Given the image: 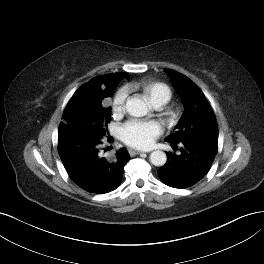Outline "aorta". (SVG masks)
Returning <instances> with one entry per match:
<instances>
[{"label":"aorta","instance_id":"762f6f07","mask_svg":"<svg viewBox=\"0 0 264 264\" xmlns=\"http://www.w3.org/2000/svg\"><path fill=\"white\" fill-rule=\"evenodd\" d=\"M127 112L134 117H143L148 113V106L139 98H129L126 102ZM167 156L163 151L156 150L150 154V162L155 166H163Z\"/></svg>","mask_w":264,"mask_h":264}]
</instances>
